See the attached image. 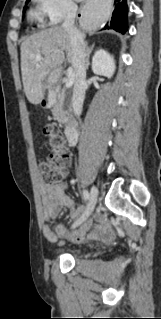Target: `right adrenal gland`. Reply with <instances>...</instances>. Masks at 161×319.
Listing matches in <instances>:
<instances>
[{"label": "right adrenal gland", "mask_w": 161, "mask_h": 319, "mask_svg": "<svg viewBox=\"0 0 161 319\" xmlns=\"http://www.w3.org/2000/svg\"><path fill=\"white\" fill-rule=\"evenodd\" d=\"M94 44L92 46H87V58H86V69L88 70L89 68V65H90V62H89V59H90V55L94 49Z\"/></svg>", "instance_id": "2a0ac1e0"}]
</instances>
